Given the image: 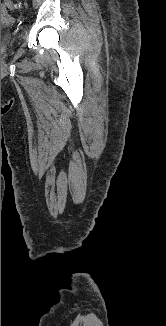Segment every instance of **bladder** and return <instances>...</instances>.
Segmentation results:
<instances>
[{"instance_id":"bladder-1","label":"bladder","mask_w":166,"mask_h":326,"mask_svg":"<svg viewBox=\"0 0 166 326\" xmlns=\"http://www.w3.org/2000/svg\"><path fill=\"white\" fill-rule=\"evenodd\" d=\"M5 12V8L1 7V14H3Z\"/></svg>"}]
</instances>
